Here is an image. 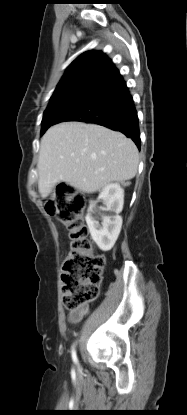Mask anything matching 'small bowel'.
Returning <instances> with one entry per match:
<instances>
[{"label":"small bowel","mask_w":187,"mask_h":415,"mask_svg":"<svg viewBox=\"0 0 187 415\" xmlns=\"http://www.w3.org/2000/svg\"><path fill=\"white\" fill-rule=\"evenodd\" d=\"M88 312L87 306H82L81 308L77 310H72L69 313V321L71 323H77L79 322Z\"/></svg>","instance_id":"small-bowel-1"}]
</instances>
